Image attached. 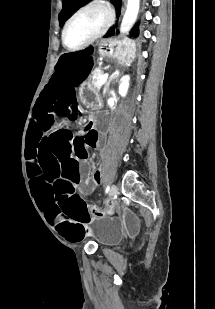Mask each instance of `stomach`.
I'll return each mask as SVG.
<instances>
[{"mask_svg": "<svg viewBox=\"0 0 215 309\" xmlns=\"http://www.w3.org/2000/svg\"><path fill=\"white\" fill-rule=\"evenodd\" d=\"M98 51L102 57L109 58L120 64L130 62L136 53L135 41L124 36L122 38H108L98 44ZM99 89L92 81L83 84L81 96L90 102H99Z\"/></svg>", "mask_w": 215, "mask_h": 309, "instance_id": "stomach-1", "label": "stomach"}]
</instances>
